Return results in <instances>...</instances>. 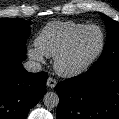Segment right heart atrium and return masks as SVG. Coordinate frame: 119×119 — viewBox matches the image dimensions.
Returning a JSON list of instances; mask_svg holds the SVG:
<instances>
[{
  "label": "right heart atrium",
  "mask_w": 119,
  "mask_h": 119,
  "mask_svg": "<svg viewBox=\"0 0 119 119\" xmlns=\"http://www.w3.org/2000/svg\"><path fill=\"white\" fill-rule=\"evenodd\" d=\"M28 54L35 61H38V62L43 61V54L37 48H30L28 50Z\"/></svg>",
  "instance_id": "obj_1"
}]
</instances>
